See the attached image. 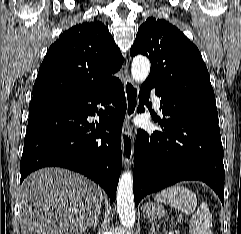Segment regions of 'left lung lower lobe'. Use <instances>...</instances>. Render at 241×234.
Segmentation results:
<instances>
[{"label":"left lung lower lobe","instance_id":"obj_1","mask_svg":"<svg viewBox=\"0 0 241 234\" xmlns=\"http://www.w3.org/2000/svg\"><path fill=\"white\" fill-rule=\"evenodd\" d=\"M161 97L163 120L154 119L164 129L150 137L138 130L134 146V200L138 205L147 194L183 180L208 184L224 203L223 147L218 112L198 103L166 94L146 80L139 92L138 112H144L149 91Z\"/></svg>","mask_w":241,"mask_h":234}]
</instances>
